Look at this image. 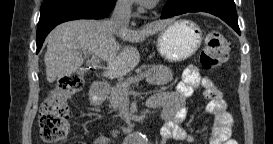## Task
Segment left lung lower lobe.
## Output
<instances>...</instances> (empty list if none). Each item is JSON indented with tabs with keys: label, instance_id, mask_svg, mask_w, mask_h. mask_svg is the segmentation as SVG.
Masks as SVG:
<instances>
[{
	"label": "left lung lower lobe",
	"instance_id": "1",
	"mask_svg": "<svg viewBox=\"0 0 273 144\" xmlns=\"http://www.w3.org/2000/svg\"><path fill=\"white\" fill-rule=\"evenodd\" d=\"M187 12H208L218 16L240 35L234 0H167L161 19Z\"/></svg>",
	"mask_w": 273,
	"mask_h": 144
}]
</instances>
